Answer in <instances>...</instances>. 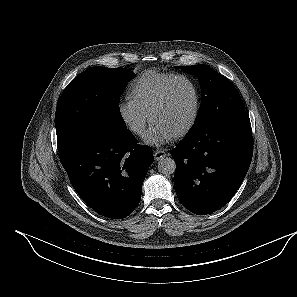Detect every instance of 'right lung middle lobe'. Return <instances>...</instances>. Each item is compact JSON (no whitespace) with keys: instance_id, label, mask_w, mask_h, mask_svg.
<instances>
[{"instance_id":"right-lung-middle-lobe-1","label":"right lung middle lobe","mask_w":297,"mask_h":297,"mask_svg":"<svg viewBox=\"0 0 297 297\" xmlns=\"http://www.w3.org/2000/svg\"><path fill=\"white\" fill-rule=\"evenodd\" d=\"M134 77V73L125 68L91 67L69 83L55 113L60 154L91 130L126 129L119 97Z\"/></svg>"}]
</instances>
